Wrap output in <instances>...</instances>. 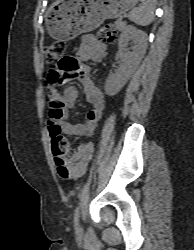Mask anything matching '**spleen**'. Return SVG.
Returning a JSON list of instances; mask_svg holds the SVG:
<instances>
[{
  "label": "spleen",
  "instance_id": "3e777b00",
  "mask_svg": "<svg viewBox=\"0 0 194 250\" xmlns=\"http://www.w3.org/2000/svg\"><path fill=\"white\" fill-rule=\"evenodd\" d=\"M141 5L134 8L130 14L129 19L137 25L147 26L154 19V10L156 0H140Z\"/></svg>",
  "mask_w": 194,
  "mask_h": 250
}]
</instances>
